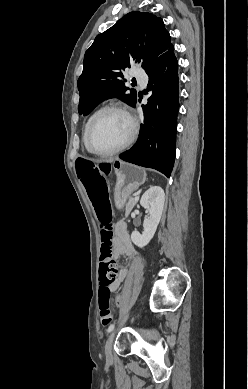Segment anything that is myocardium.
Listing matches in <instances>:
<instances>
[{
	"mask_svg": "<svg viewBox=\"0 0 248 389\" xmlns=\"http://www.w3.org/2000/svg\"><path fill=\"white\" fill-rule=\"evenodd\" d=\"M110 112H118V113L124 115L128 119V121L130 122L131 132H130L128 138L121 145H119L118 147H116L112 150L105 151V152L94 150L91 148L90 143H89V137H90L91 130H92L94 124L103 115L110 113ZM138 130H139L138 122H137L136 118L128 111L127 108H125L124 106L119 105V104H111V105L105 106L102 109H100L93 116L91 121L89 122L87 129H86V133H85V145H86L87 150L92 154L102 156V157L112 156V155H115V154L125 150L126 148H128L135 141V139L138 135Z\"/></svg>",
	"mask_w": 248,
	"mask_h": 389,
	"instance_id": "1",
	"label": "myocardium"
}]
</instances>
